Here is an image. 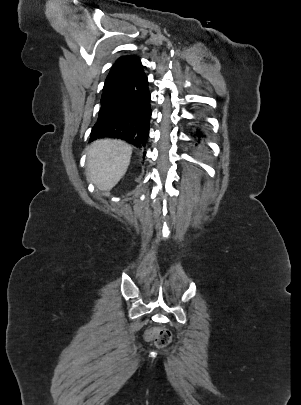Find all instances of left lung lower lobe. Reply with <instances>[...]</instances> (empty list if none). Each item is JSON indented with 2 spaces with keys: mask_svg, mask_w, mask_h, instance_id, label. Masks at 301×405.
Segmentation results:
<instances>
[{
  "mask_svg": "<svg viewBox=\"0 0 301 405\" xmlns=\"http://www.w3.org/2000/svg\"><path fill=\"white\" fill-rule=\"evenodd\" d=\"M195 136H196V138L198 139L197 142L200 143V138L202 137L201 133H200V132H197Z\"/></svg>",
  "mask_w": 301,
  "mask_h": 405,
  "instance_id": "obj_1",
  "label": "left lung lower lobe"
}]
</instances>
